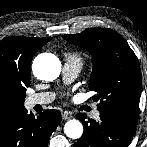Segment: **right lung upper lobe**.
I'll list each match as a JSON object with an SVG mask.
<instances>
[{
  "mask_svg": "<svg viewBox=\"0 0 147 147\" xmlns=\"http://www.w3.org/2000/svg\"><path fill=\"white\" fill-rule=\"evenodd\" d=\"M49 38L8 37L0 41V70L22 79H30V65L33 55ZM2 118V117H0Z\"/></svg>",
  "mask_w": 147,
  "mask_h": 147,
  "instance_id": "cb5924a9",
  "label": "right lung upper lobe"
}]
</instances>
